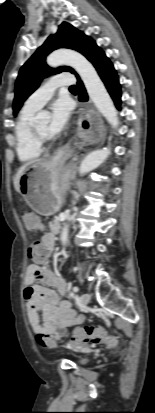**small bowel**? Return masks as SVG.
I'll list each match as a JSON object with an SVG mask.
<instances>
[{
  "label": "small bowel",
  "instance_id": "1",
  "mask_svg": "<svg viewBox=\"0 0 155 413\" xmlns=\"http://www.w3.org/2000/svg\"><path fill=\"white\" fill-rule=\"evenodd\" d=\"M24 216L26 217L23 219L24 227L38 226V219L32 217L31 209H26ZM42 243L46 250L51 251L55 244L54 236L50 233L45 234ZM37 281L46 286L37 284ZM24 283L28 320L38 338L46 336L55 341L64 335L68 327L82 321V318L76 316L72 304L62 298L67 290L66 281L53 273L45 264H30Z\"/></svg>",
  "mask_w": 155,
  "mask_h": 413
}]
</instances>
